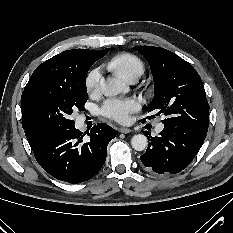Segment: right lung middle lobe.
<instances>
[{
  "label": "right lung middle lobe",
  "instance_id": "1",
  "mask_svg": "<svg viewBox=\"0 0 233 233\" xmlns=\"http://www.w3.org/2000/svg\"><path fill=\"white\" fill-rule=\"evenodd\" d=\"M87 63L69 83L36 81L26 85L21 97L22 127L31 147L47 136L74 126L71 115L84 110L87 101Z\"/></svg>",
  "mask_w": 233,
  "mask_h": 233
}]
</instances>
